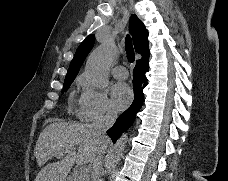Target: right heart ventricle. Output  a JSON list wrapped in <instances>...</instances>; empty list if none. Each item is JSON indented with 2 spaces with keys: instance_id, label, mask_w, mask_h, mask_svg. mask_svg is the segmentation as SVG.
Segmentation results:
<instances>
[{
  "instance_id": "e07e8e85",
  "label": "right heart ventricle",
  "mask_w": 228,
  "mask_h": 181,
  "mask_svg": "<svg viewBox=\"0 0 228 181\" xmlns=\"http://www.w3.org/2000/svg\"><path fill=\"white\" fill-rule=\"evenodd\" d=\"M74 84H77L78 86H84L86 81L82 76H77L74 80Z\"/></svg>"
}]
</instances>
